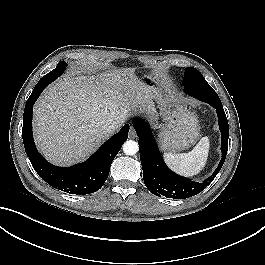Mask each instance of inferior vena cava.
I'll use <instances>...</instances> for the list:
<instances>
[{"label":"inferior vena cava","instance_id":"602c4592","mask_svg":"<svg viewBox=\"0 0 265 265\" xmlns=\"http://www.w3.org/2000/svg\"><path fill=\"white\" fill-rule=\"evenodd\" d=\"M118 126L115 123H110L105 127V131L108 134H112L117 130Z\"/></svg>","mask_w":265,"mask_h":265}]
</instances>
